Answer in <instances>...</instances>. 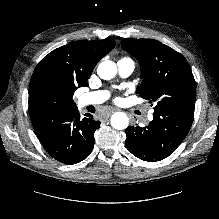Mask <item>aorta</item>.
Returning <instances> with one entry per match:
<instances>
[{
	"mask_svg": "<svg viewBox=\"0 0 219 219\" xmlns=\"http://www.w3.org/2000/svg\"><path fill=\"white\" fill-rule=\"evenodd\" d=\"M97 74L101 79L110 80L117 74V66L113 61L107 60L99 64ZM129 118L124 112H116L111 116V126L117 130L128 127Z\"/></svg>",
	"mask_w": 219,
	"mask_h": 219,
	"instance_id": "762f6f07",
	"label": "aorta"
}]
</instances>
